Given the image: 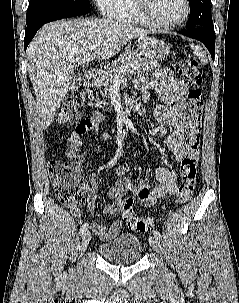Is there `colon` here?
<instances>
[{
  "mask_svg": "<svg viewBox=\"0 0 239 303\" xmlns=\"http://www.w3.org/2000/svg\"><path fill=\"white\" fill-rule=\"evenodd\" d=\"M181 75L189 84L187 95L188 118L185 126V150L181 159L180 173L182 182L177 189L176 202L187 203L197 186L198 158L203 112L202 74L197 60L187 57L180 67ZM81 119L75 100L64 101L57 114V122L75 124ZM80 162L69 158L65 161L53 160L49 163V176L55 195L65 205L81 206L86 201L88 184L80 174ZM134 200L127 196L123 200L122 217L127 226L136 232L145 233L153 230L155 221L152 217H140L133 210Z\"/></svg>",
  "mask_w": 239,
  "mask_h": 303,
  "instance_id": "colon-1",
  "label": "colon"
}]
</instances>
